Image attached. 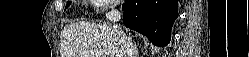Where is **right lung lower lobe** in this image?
I'll use <instances>...</instances> for the list:
<instances>
[{
  "label": "right lung lower lobe",
  "mask_w": 249,
  "mask_h": 57,
  "mask_svg": "<svg viewBox=\"0 0 249 57\" xmlns=\"http://www.w3.org/2000/svg\"><path fill=\"white\" fill-rule=\"evenodd\" d=\"M178 0H125L124 25L159 46L170 42L171 26L178 17Z\"/></svg>",
  "instance_id": "98d812e1"
}]
</instances>
